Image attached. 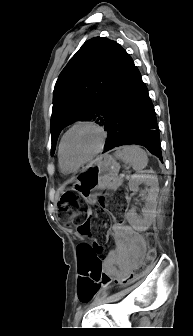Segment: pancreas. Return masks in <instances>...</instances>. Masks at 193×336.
I'll return each mask as SVG.
<instances>
[{
    "instance_id": "1",
    "label": "pancreas",
    "mask_w": 193,
    "mask_h": 336,
    "mask_svg": "<svg viewBox=\"0 0 193 336\" xmlns=\"http://www.w3.org/2000/svg\"><path fill=\"white\" fill-rule=\"evenodd\" d=\"M123 182L122 177H116L113 179V181L110 183V187H108V194L112 195L116 188H118Z\"/></svg>"
}]
</instances>
